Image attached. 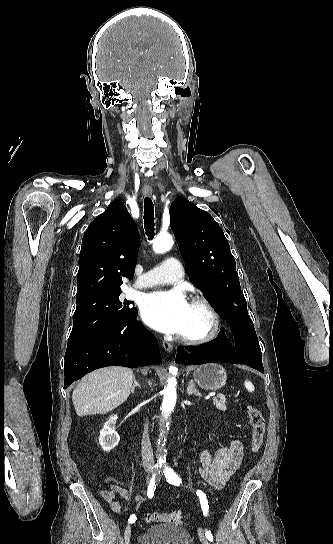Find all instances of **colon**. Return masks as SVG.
<instances>
[{
    "instance_id": "5ec220e1",
    "label": "colon",
    "mask_w": 333,
    "mask_h": 544,
    "mask_svg": "<svg viewBox=\"0 0 333 544\" xmlns=\"http://www.w3.org/2000/svg\"><path fill=\"white\" fill-rule=\"evenodd\" d=\"M247 416L251 427L250 447L253 453H258L262 447L265 435V418L261 411L254 407L247 408ZM146 523H170L174 525H184L185 519L180 512L168 513H149L145 518Z\"/></svg>"
}]
</instances>
